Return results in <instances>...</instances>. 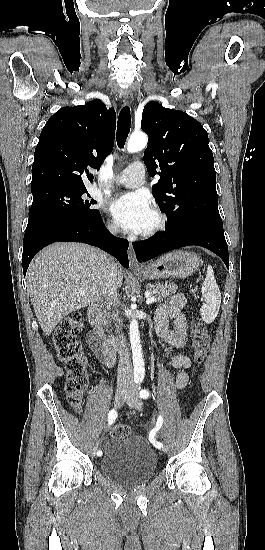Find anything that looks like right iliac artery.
Masks as SVG:
<instances>
[{
  "instance_id": "1",
  "label": "right iliac artery",
  "mask_w": 265,
  "mask_h": 550,
  "mask_svg": "<svg viewBox=\"0 0 265 550\" xmlns=\"http://www.w3.org/2000/svg\"><path fill=\"white\" fill-rule=\"evenodd\" d=\"M116 418H117V411L115 409H112L108 413V424L109 425L113 424ZM101 454H102L101 451L97 452V455H101Z\"/></svg>"
}]
</instances>
